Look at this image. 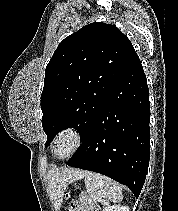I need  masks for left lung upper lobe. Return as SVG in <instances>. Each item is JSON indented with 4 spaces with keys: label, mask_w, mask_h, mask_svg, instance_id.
<instances>
[{
    "label": "left lung upper lobe",
    "mask_w": 178,
    "mask_h": 211,
    "mask_svg": "<svg viewBox=\"0 0 178 211\" xmlns=\"http://www.w3.org/2000/svg\"><path fill=\"white\" fill-rule=\"evenodd\" d=\"M129 39L115 26L94 22L66 37L55 50L41 94L47 147L66 128L82 141L102 112L110 88L134 56Z\"/></svg>",
    "instance_id": "left-lung-upper-lobe-1"
}]
</instances>
